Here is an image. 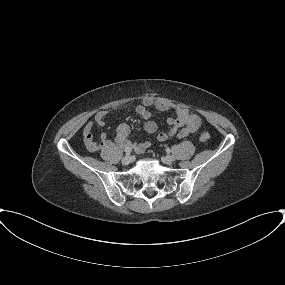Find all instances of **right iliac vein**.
I'll use <instances>...</instances> for the list:
<instances>
[{"label":"right iliac vein","instance_id":"obj_1","mask_svg":"<svg viewBox=\"0 0 285 285\" xmlns=\"http://www.w3.org/2000/svg\"><path fill=\"white\" fill-rule=\"evenodd\" d=\"M133 159L134 158L132 156L127 155V156L122 158L121 162L123 165H128L133 161Z\"/></svg>","mask_w":285,"mask_h":285}]
</instances>
